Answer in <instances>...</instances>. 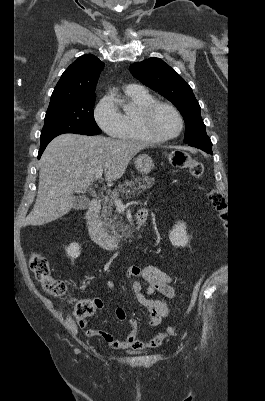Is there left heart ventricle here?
<instances>
[{
	"mask_svg": "<svg viewBox=\"0 0 265 401\" xmlns=\"http://www.w3.org/2000/svg\"><path fill=\"white\" fill-rule=\"evenodd\" d=\"M151 134L158 139L174 136L179 131V121L170 110L160 107L149 119Z\"/></svg>",
	"mask_w": 265,
	"mask_h": 401,
	"instance_id": "b2bd125f",
	"label": "left heart ventricle"
}]
</instances>
